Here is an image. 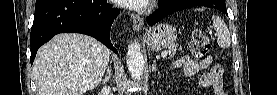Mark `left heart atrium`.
I'll return each instance as SVG.
<instances>
[{"label":"left heart atrium","instance_id":"1","mask_svg":"<svg viewBox=\"0 0 277 95\" xmlns=\"http://www.w3.org/2000/svg\"><path fill=\"white\" fill-rule=\"evenodd\" d=\"M151 0H119L122 7L139 10L149 4Z\"/></svg>","mask_w":277,"mask_h":95}]
</instances>
